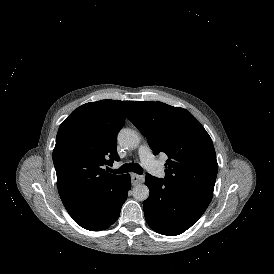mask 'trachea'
I'll list each match as a JSON object with an SVG mask.
<instances>
[{
  "instance_id": "1",
  "label": "trachea",
  "mask_w": 274,
  "mask_h": 274,
  "mask_svg": "<svg viewBox=\"0 0 274 274\" xmlns=\"http://www.w3.org/2000/svg\"><path fill=\"white\" fill-rule=\"evenodd\" d=\"M133 171L137 174H143L144 170L137 163L124 164L119 169H112L111 172L115 174H122Z\"/></svg>"
}]
</instances>
